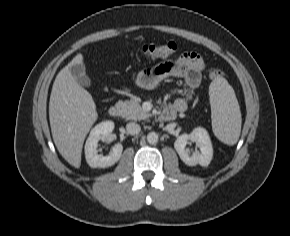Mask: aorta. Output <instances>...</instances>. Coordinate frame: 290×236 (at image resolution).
Listing matches in <instances>:
<instances>
[{
  "mask_svg": "<svg viewBox=\"0 0 290 236\" xmlns=\"http://www.w3.org/2000/svg\"><path fill=\"white\" fill-rule=\"evenodd\" d=\"M147 141L150 144H156L158 142V134L156 132H150L147 135Z\"/></svg>",
  "mask_w": 290,
  "mask_h": 236,
  "instance_id": "762f6f07",
  "label": "aorta"
}]
</instances>
